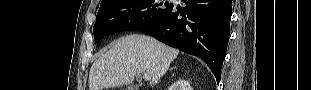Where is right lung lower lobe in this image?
Masks as SVG:
<instances>
[{
    "label": "right lung lower lobe",
    "instance_id": "right-lung-lower-lobe-1",
    "mask_svg": "<svg viewBox=\"0 0 311 90\" xmlns=\"http://www.w3.org/2000/svg\"><path fill=\"white\" fill-rule=\"evenodd\" d=\"M158 22L140 29L157 40L202 58L217 82L230 35L232 0H183ZM181 15L182 18H178Z\"/></svg>",
    "mask_w": 311,
    "mask_h": 90
}]
</instances>
